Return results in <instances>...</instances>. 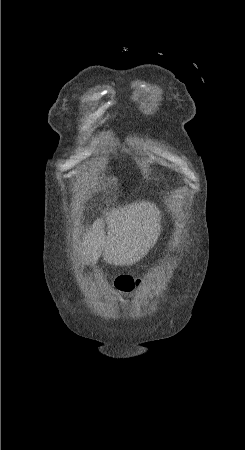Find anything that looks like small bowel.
I'll list each match as a JSON object with an SVG mask.
<instances>
[{"label": "small bowel", "mask_w": 245, "mask_h": 450, "mask_svg": "<svg viewBox=\"0 0 245 450\" xmlns=\"http://www.w3.org/2000/svg\"><path fill=\"white\" fill-rule=\"evenodd\" d=\"M124 277H129V276H124ZM116 294H118L120 296L121 299H126L129 297V292L124 290V291H115Z\"/></svg>", "instance_id": "small-bowel-1"}]
</instances>
